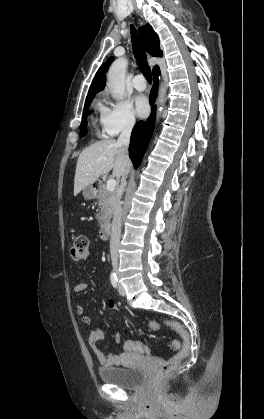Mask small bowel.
Instances as JSON below:
<instances>
[{"mask_svg": "<svg viewBox=\"0 0 264 419\" xmlns=\"http://www.w3.org/2000/svg\"><path fill=\"white\" fill-rule=\"evenodd\" d=\"M87 290V283L83 280H80L77 282V284L74 287V291L78 294L84 293ZM109 306L111 308L115 307V303L113 301L109 302ZM77 313L81 316V320L86 325L92 324V318L90 315L86 314V310L84 306H77L76 308ZM103 337V331L101 328L96 327L92 328L89 332L88 337V344L90 348L92 349L93 353L95 354L96 358L98 359L99 363L104 367H112L120 365L122 360L129 354H140V355H148L149 349L146 353H142L136 349H132L130 346L131 344L135 343V341H127L124 344V353L122 355H116V354H106L98 345V342ZM114 341L116 343H119L121 341V335L119 332H116L114 334Z\"/></svg>", "mask_w": 264, "mask_h": 419, "instance_id": "c3829d8e", "label": "small bowel"}]
</instances>
